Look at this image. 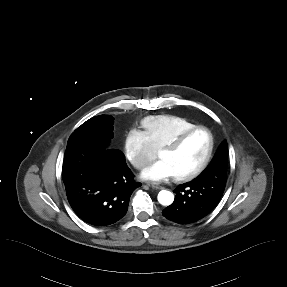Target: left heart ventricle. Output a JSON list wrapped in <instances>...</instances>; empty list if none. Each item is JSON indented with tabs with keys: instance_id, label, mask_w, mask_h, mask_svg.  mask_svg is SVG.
<instances>
[{
	"instance_id": "left-heart-ventricle-1",
	"label": "left heart ventricle",
	"mask_w": 287,
	"mask_h": 287,
	"mask_svg": "<svg viewBox=\"0 0 287 287\" xmlns=\"http://www.w3.org/2000/svg\"><path fill=\"white\" fill-rule=\"evenodd\" d=\"M209 147V137L205 131L190 136L176 151H163L159 158L166 161L175 176L194 170L204 159Z\"/></svg>"
}]
</instances>
